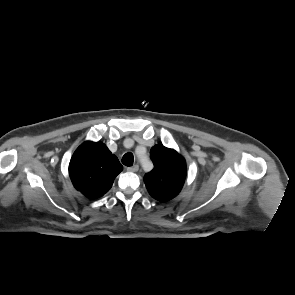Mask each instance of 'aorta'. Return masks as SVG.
Returning a JSON list of instances; mask_svg holds the SVG:
<instances>
[{
    "label": "aorta",
    "mask_w": 295,
    "mask_h": 295,
    "mask_svg": "<svg viewBox=\"0 0 295 295\" xmlns=\"http://www.w3.org/2000/svg\"><path fill=\"white\" fill-rule=\"evenodd\" d=\"M137 157L142 164L149 163L148 157L145 154H137Z\"/></svg>",
    "instance_id": "obj_1"
}]
</instances>
